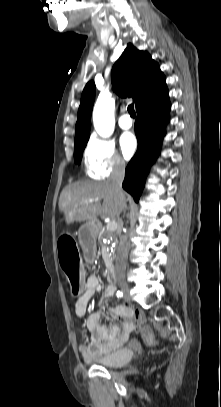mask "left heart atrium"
<instances>
[{
  "label": "left heart atrium",
  "instance_id": "1",
  "mask_svg": "<svg viewBox=\"0 0 221 407\" xmlns=\"http://www.w3.org/2000/svg\"><path fill=\"white\" fill-rule=\"evenodd\" d=\"M120 146L125 158H130L137 147L136 138L131 133H124L120 138Z\"/></svg>",
  "mask_w": 221,
  "mask_h": 407
}]
</instances>
